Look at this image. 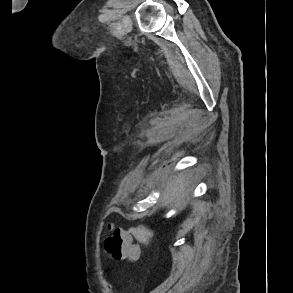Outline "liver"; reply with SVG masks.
Masks as SVG:
<instances>
[{"mask_svg": "<svg viewBox=\"0 0 293 293\" xmlns=\"http://www.w3.org/2000/svg\"><path fill=\"white\" fill-rule=\"evenodd\" d=\"M190 182L182 174L170 179L161 195V203L163 207L169 204H180L185 196L190 192ZM135 238L141 242L148 243L153 237L154 232L145 226H138L131 229Z\"/></svg>", "mask_w": 293, "mask_h": 293, "instance_id": "liver-1", "label": "liver"}]
</instances>
